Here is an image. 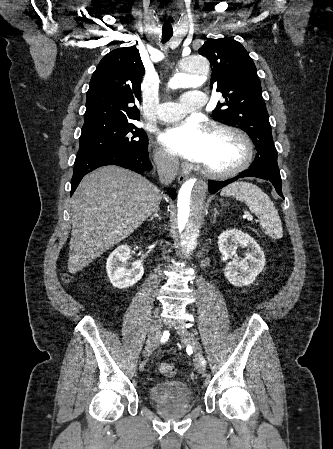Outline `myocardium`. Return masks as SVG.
Instances as JSON below:
<instances>
[{"instance_id":"myocardium-1","label":"myocardium","mask_w":333,"mask_h":449,"mask_svg":"<svg viewBox=\"0 0 333 449\" xmlns=\"http://www.w3.org/2000/svg\"><path fill=\"white\" fill-rule=\"evenodd\" d=\"M208 132L212 134H223L236 139L242 146L243 154L240 162L229 169L213 170L200 165L201 170L206 176L216 180H224L238 175L250 166L254 156V147L251 139L244 132L221 124L211 126Z\"/></svg>"}]
</instances>
